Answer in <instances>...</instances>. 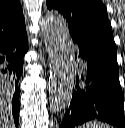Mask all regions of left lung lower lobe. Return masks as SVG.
I'll return each instance as SVG.
<instances>
[{
    "instance_id": "0a47b994",
    "label": "left lung lower lobe",
    "mask_w": 125,
    "mask_h": 128,
    "mask_svg": "<svg viewBox=\"0 0 125 128\" xmlns=\"http://www.w3.org/2000/svg\"><path fill=\"white\" fill-rule=\"evenodd\" d=\"M79 57L84 67L76 77L72 100L60 128H74L92 119L125 128L124 98L116 54L80 47Z\"/></svg>"
}]
</instances>
